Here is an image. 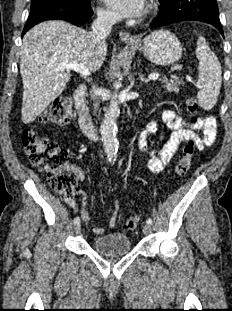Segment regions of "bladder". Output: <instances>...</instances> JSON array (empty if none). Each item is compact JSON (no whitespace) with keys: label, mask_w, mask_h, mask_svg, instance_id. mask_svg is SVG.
Wrapping results in <instances>:
<instances>
[{"label":"bladder","mask_w":232,"mask_h":311,"mask_svg":"<svg viewBox=\"0 0 232 311\" xmlns=\"http://www.w3.org/2000/svg\"><path fill=\"white\" fill-rule=\"evenodd\" d=\"M94 251L108 255H122L131 250V242L128 235L123 233H107L98 236L92 241Z\"/></svg>","instance_id":"31cf9c89"}]
</instances>
